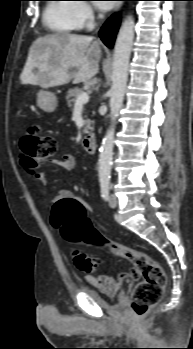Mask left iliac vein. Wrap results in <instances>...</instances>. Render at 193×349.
Returning <instances> with one entry per match:
<instances>
[{"label": "left iliac vein", "mask_w": 193, "mask_h": 349, "mask_svg": "<svg viewBox=\"0 0 193 349\" xmlns=\"http://www.w3.org/2000/svg\"><path fill=\"white\" fill-rule=\"evenodd\" d=\"M109 205H110V207H112V208H114V207L117 206V197H116L114 194L110 195V198H109Z\"/></svg>", "instance_id": "left-iliac-vein-1"}]
</instances>
